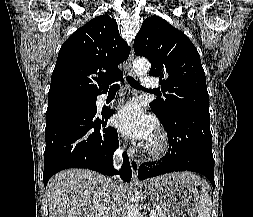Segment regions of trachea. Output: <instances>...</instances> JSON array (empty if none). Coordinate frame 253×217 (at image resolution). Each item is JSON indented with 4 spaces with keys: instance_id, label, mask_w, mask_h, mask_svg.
<instances>
[{
    "instance_id": "3493384b",
    "label": "trachea",
    "mask_w": 253,
    "mask_h": 217,
    "mask_svg": "<svg viewBox=\"0 0 253 217\" xmlns=\"http://www.w3.org/2000/svg\"><path fill=\"white\" fill-rule=\"evenodd\" d=\"M127 80H128L129 84H130L132 87H134V88H136V89L146 90V89L143 88V87L139 84V82L136 81L134 78L128 77ZM119 87H120L119 84H113V85L110 87V90H118ZM152 92H153L154 94H158V92H156V91H152Z\"/></svg>"
}]
</instances>
